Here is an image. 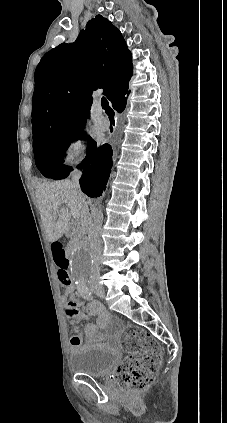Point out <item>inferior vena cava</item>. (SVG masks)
Returning a JSON list of instances; mask_svg holds the SVG:
<instances>
[{
    "label": "inferior vena cava",
    "instance_id": "obj_1",
    "mask_svg": "<svg viewBox=\"0 0 227 423\" xmlns=\"http://www.w3.org/2000/svg\"><path fill=\"white\" fill-rule=\"evenodd\" d=\"M82 176V172L80 170H75L73 176H72V182H74L76 188H79L80 190V184L79 180ZM84 206V223L83 229L87 231V241L89 243L90 251H91V257H92V271H91V277L90 281H98L100 277V265H99V257L101 255V239L99 237L98 233V225H101L102 219L101 217H98V215H89V210L86 202H83ZM88 219L90 221H93V223H89Z\"/></svg>",
    "mask_w": 227,
    "mask_h": 423
}]
</instances>
